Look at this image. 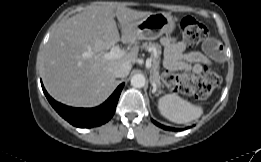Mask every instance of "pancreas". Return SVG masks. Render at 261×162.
Listing matches in <instances>:
<instances>
[{"instance_id": "cf45deb5", "label": "pancreas", "mask_w": 261, "mask_h": 162, "mask_svg": "<svg viewBox=\"0 0 261 162\" xmlns=\"http://www.w3.org/2000/svg\"><path fill=\"white\" fill-rule=\"evenodd\" d=\"M142 48L151 53V82L160 91L163 84L160 81V56H161V46L157 43L145 42Z\"/></svg>"}]
</instances>
